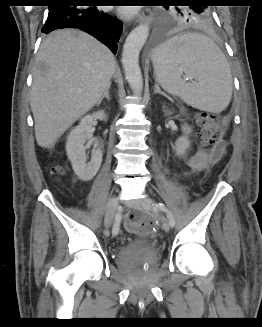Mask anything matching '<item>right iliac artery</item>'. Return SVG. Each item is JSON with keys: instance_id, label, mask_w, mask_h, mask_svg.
Instances as JSON below:
<instances>
[{"instance_id": "right-iliac-artery-1", "label": "right iliac artery", "mask_w": 262, "mask_h": 327, "mask_svg": "<svg viewBox=\"0 0 262 327\" xmlns=\"http://www.w3.org/2000/svg\"><path fill=\"white\" fill-rule=\"evenodd\" d=\"M120 221H121V215L117 213L115 216V222H114L113 229H112L113 235L118 234L119 227H120Z\"/></svg>"}]
</instances>
